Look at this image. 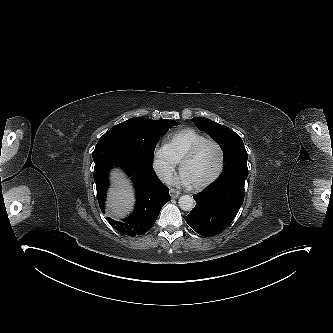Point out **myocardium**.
Instances as JSON below:
<instances>
[{
    "instance_id": "1",
    "label": "myocardium",
    "mask_w": 333,
    "mask_h": 333,
    "mask_svg": "<svg viewBox=\"0 0 333 333\" xmlns=\"http://www.w3.org/2000/svg\"><path fill=\"white\" fill-rule=\"evenodd\" d=\"M205 144H213L217 148L218 156H219L218 165H217L215 172L208 179L193 184V187L196 189H202V188H205V187L211 185L212 183H214L221 175V173L223 171V167H224V151H223L221 144L213 138H205L202 141L195 144L184 155V157L181 159V163H180L181 169L182 170L184 169L185 164L188 161H190L191 159H193Z\"/></svg>"
}]
</instances>
